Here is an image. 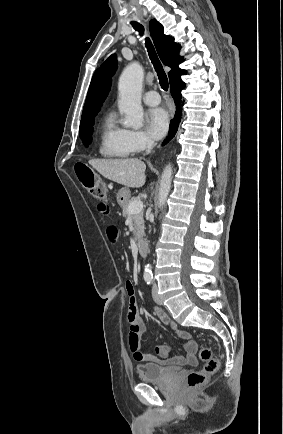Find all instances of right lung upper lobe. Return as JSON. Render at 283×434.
<instances>
[{
	"mask_svg": "<svg viewBox=\"0 0 283 434\" xmlns=\"http://www.w3.org/2000/svg\"><path fill=\"white\" fill-rule=\"evenodd\" d=\"M151 37L163 64L169 66L171 71L168 73L170 82L177 76L186 74L178 65L183 61L179 56L181 46L174 42V38L163 33V26L156 20L152 19L149 23ZM117 69V60L115 55H111L97 69L92 77L91 84L83 108V114L80 124L94 121L102 102L105 100L110 87L111 76Z\"/></svg>",
	"mask_w": 283,
	"mask_h": 434,
	"instance_id": "1",
	"label": "right lung upper lobe"
}]
</instances>
